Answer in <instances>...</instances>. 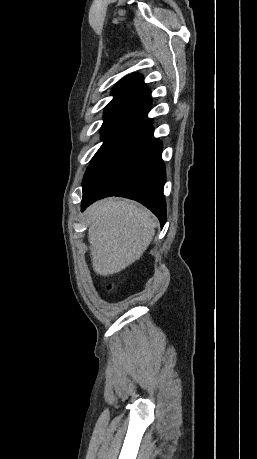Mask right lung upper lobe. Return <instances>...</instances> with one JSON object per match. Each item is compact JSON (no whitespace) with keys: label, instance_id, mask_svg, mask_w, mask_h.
Masks as SVG:
<instances>
[{"label":"right lung upper lobe","instance_id":"obj_1","mask_svg":"<svg viewBox=\"0 0 257 459\" xmlns=\"http://www.w3.org/2000/svg\"><path fill=\"white\" fill-rule=\"evenodd\" d=\"M112 94L114 98L104 112L126 111L140 114L151 107L150 90L145 87L141 74L124 77L115 85Z\"/></svg>","mask_w":257,"mask_h":459}]
</instances>
